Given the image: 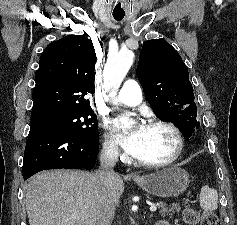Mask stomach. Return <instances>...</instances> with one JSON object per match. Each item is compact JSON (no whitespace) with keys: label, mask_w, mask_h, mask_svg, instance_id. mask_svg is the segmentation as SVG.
Masks as SVG:
<instances>
[{"label":"stomach","mask_w":237,"mask_h":225,"mask_svg":"<svg viewBox=\"0 0 237 225\" xmlns=\"http://www.w3.org/2000/svg\"><path fill=\"white\" fill-rule=\"evenodd\" d=\"M134 181L146 192L162 197H177L190 183L189 174L178 166H171L160 171L134 178Z\"/></svg>","instance_id":"stomach-1"}]
</instances>
